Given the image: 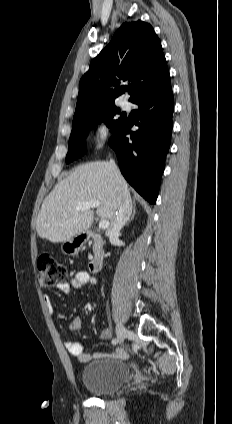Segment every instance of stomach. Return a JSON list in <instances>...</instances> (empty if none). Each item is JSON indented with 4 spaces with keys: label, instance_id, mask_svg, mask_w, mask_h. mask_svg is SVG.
Listing matches in <instances>:
<instances>
[{
    "label": "stomach",
    "instance_id": "0dacf381",
    "mask_svg": "<svg viewBox=\"0 0 232 424\" xmlns=\"http://www.w3.org/2000/svg\"><path fill=\"white\" fill-rule=\"evenodd\" d=\"M85 239L81 235L72 237L71 239L64 241L61 245V250L65 255L75 256L79 253L83 246Z\"/></svg>",
    "mask_w": 232,
    "mask_h": 424
}]
</instances>
